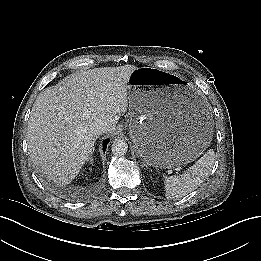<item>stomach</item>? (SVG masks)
Masks as SVG:
<instances>
[{
    "label": "stomach",
    "instance_id": "stomach-1",
    "mask_svg": "<svg viewBox=\"0 0 261 261\" xmlns=\"http://www.w3.org/2000/svg\"><path fill=\"white\" fill-rule=\"evenodd\" d=\"M130 136L153 167L188 164L209 146L212 128L194 88L171 73L141 67L128 80Z\"/></svg>",
    "mask_w": 261,
    "mask_h": 261
}]
</instances>
